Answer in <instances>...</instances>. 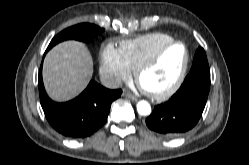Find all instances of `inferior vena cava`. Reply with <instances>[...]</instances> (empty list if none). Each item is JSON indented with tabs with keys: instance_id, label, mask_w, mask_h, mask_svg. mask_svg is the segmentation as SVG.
Masks as SVG:
<instances>
[{
	"instance_id": "1",
	"label": "inferior vena cava",
	"mask_w": 249,
	"mask_h": 165,
	"mask_svg": "<svg viewBox=\"0 0 249 165\" xmlns=\"http://www.w3.org/2000/svg\"><path fill=\"white\" fill-rule=\"evenodd\" d=\"M102 85L110 88V89H116L122 86V81L120 78L115 77V76H103L101 78Z\"/></svg>"
}]
</instances>
